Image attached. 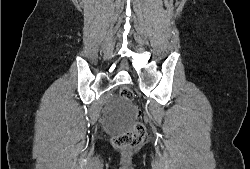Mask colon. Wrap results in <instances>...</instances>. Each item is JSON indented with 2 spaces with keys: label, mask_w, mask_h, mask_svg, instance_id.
<instances>
[{
  "label": "colon",
  "mask_w": 250,
  "mask_h": 169,
  "mask_svg": "<svg viewBox=\"0 0 250 169\" xmlns=\"http://www.w3.org/2000/svg\"><path fill=\"white\" fill-rule=\"evenodd\" d=\"M119 95L127 101H135L136 97L131 88H119ZM142 107V102H134L135 115H144V110H139ZM136 126H131V130H124V133L117 134L115 138H111V146L114 150H124L123 154L127 155V150H136V147L143 143V139L147 138L148 130L145 122H136Z\"/></svg>",
  "instance_id": "5ec220e1"
}]
</instances>
